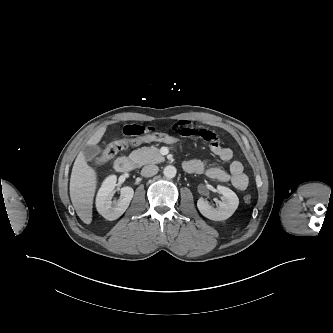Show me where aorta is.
Instances as JSON below:
<instances>
[{
	"mask_svg": "<svg viewBox=\"0 0 333 333\" xmlns=\"http://www.w3.org/2000/svg\"><path fill=\"white\" fill-rule=\"evenodd\" d=\"M177 170L174 166L168 165L164 168L163 174L167 178H174L176 176Z\"/></svg>",
	"mask_w": 333,
	"mask_h": 333,
	"instance_id": "aorta-1",
	"label": "aorta"
}]
</instances>
